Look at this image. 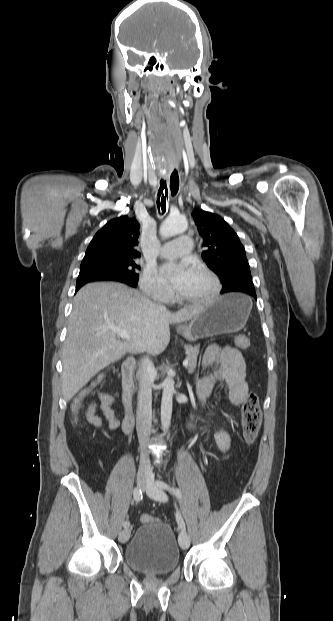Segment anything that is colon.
I'll return each instance as SVG.
<instances>
[{"instance_id":"1","label":"colon","mask_w":333,"mask_h":621,"mask_svg":"<svg viewBox=\"0 0 333 621\" xmlns=\"http://www.w3.org/2000/svg\"><path fill=\"white\" fill-rule=\"evenodd\" d=\"M236 345L239 348H247L249 339L245 336L236 338ZM104 374L99 375L87 387H85L74 399L72 404L73 422H78V413L82 401L103 381ZM262 422V412L260 408L259 398L255 393H249L242 405V427L244 438L247 443L251 444L255 441ZM155 521L151 515H142L141 522L149 523Z\"/></svg>"}]
</instances>
